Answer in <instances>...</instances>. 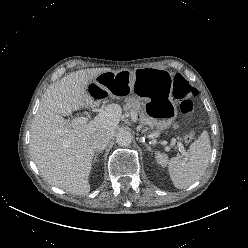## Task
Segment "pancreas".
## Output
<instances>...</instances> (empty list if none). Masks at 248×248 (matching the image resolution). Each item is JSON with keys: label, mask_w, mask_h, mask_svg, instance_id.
I'll use <instances>...</instances> for the list:
<instances>
[{"label": "pancreas", "mask_w": 248, "mask_h": 248, "mask_svg": "<svg viewBox=\"0 0 248 248\" xmlns=\"http://www.w3.org/2000/svg\"><path fill=\"white\" fill-rule=\"evenodd\" d=\"M124 109H125V111H129L130 113H134L136 115H139L141 123H147L148 122V118L143 113L141 105L137 99L131 98V97L127 98L126 104L124 105Z\"/></svg>", "instance_id": "pancreas-1"}]
</instances>
